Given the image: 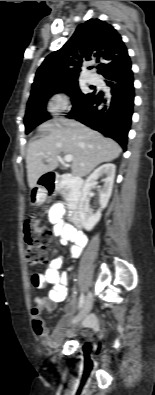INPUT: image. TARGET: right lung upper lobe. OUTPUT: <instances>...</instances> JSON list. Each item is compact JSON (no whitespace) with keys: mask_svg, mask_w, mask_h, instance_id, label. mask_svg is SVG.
<instances>
[{"mask_svg":"<svg viewBox=\"0 0 155 395\" xmlns=\"http://www.w3.org/2000/svg\"><path fill=\"white\" fill-rule=\"evenodd\" d=\"M92 58L99 63L97 68L101 75L131 65L127 48L113 26L90 19L77 27L61 49L45 58L37 70L31 96L49 85L78 80L77 71L82 62Z\"/></svg>","mask_w":155,"mask_h":395,"instance_id":"obj_1","label":"right lung upper lobe"}]
</instances>
